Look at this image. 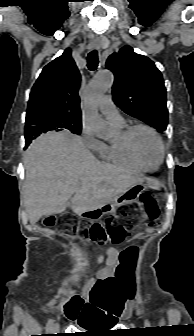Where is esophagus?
I'll list each match as a JSON object with an SVG mask.
<instances>
[{"instance_id":"1","label":"esophagus","mask_w":194,"mask_h":336,"mask_svg":"<svg viewBox=\"0 0 194 336\" xmlns=\"http://www.w3.org/2000/svg\"><path fill=\"white\" fill-rule=\"evenodd\" d=\"M101 46H102V40H101V39H96V40H95V47H96L97 49H100Z\"/></svg>"}]
</instances>
